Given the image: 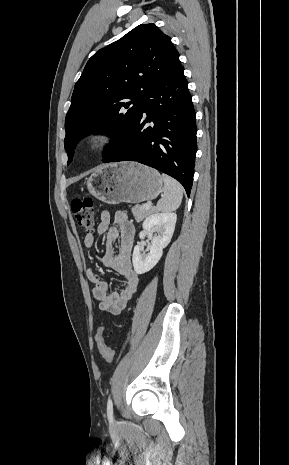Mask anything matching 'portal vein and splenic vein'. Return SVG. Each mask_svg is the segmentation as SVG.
<instances>
[{
  "mask_svg": "<svg viewBox=\"0 0 289 465\" xmlns=\"http://www.w3.org/2000/svg\"><path fill=\"white\" fill-rule=\"evenodd\" d=\"M150 206H151V205H150L149 203H146V204L143 205V207H144L145 209H150Z\"/></svg>",
  "mask_w": 289,
  "mask_h": 465,
  "instance_id": "1",
  "label": "portal vein and splenic vein"
}]
</instances>
